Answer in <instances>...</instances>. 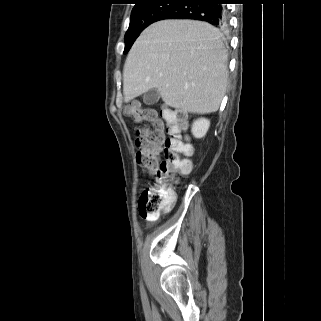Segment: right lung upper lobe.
<instances>
[{
    "label": "right lung upper lobe",
    "mask_w": 321,
    "mask_h": 321,
    "mask_svg": "<svg viewBox=\"0 0 321 321\" xmlns=\"http://www.w3.org/2000/svg\"><path fill=\"white\" fill-rule=\"evenodd\" d=\"M148 1H151V0H136V5L135 6L141 5V4H143L145 2H148Z\"/></svg>",
    "instance_id": "obj_1"
}]
</instances>
